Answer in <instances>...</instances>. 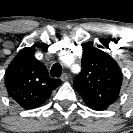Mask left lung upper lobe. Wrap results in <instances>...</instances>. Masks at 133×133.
<instances>
[{"instance_id":"obj_1","label":"left lung upper lobe","mask_w":133,"mask_h":133,"mask_svg":"<svg viewBox=\"0 0 133 133\" xmlns=\"http://www.w3.org/2000/svg\"><path fill=\"white\" fill-rule=\"evenodd\" d=\"M82 70L74 88L94 110H105L118 98L122 72L116 61L93 45L83 46Z\"/></svg>"}]
</instances>
